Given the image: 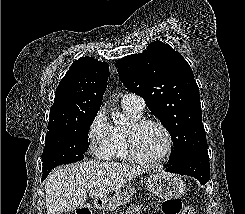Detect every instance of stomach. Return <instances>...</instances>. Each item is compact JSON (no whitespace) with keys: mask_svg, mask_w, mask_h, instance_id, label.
I'll return each mask as SVG.
<instances>
[{"mask_svg":"<svg viewBox=\"0 0 245 214\" xmlns=\"http://www.w3.org/2000/svg\"><path fill=\"white\" fill-rule=\"evenodd\" d=\"M146 184L152 193L166 200L177 199L181 197L186 190V185L181 177L165 172L150 175ZM133 193L134 188L130 184L124 185L116 190L113 196L106 198L104 205L109 210H114L129 202Z\"/></svg>","mask_w":245,"mask_h":214,"instance_id":"stomach-1","label":"stomach"}]
</instances>
